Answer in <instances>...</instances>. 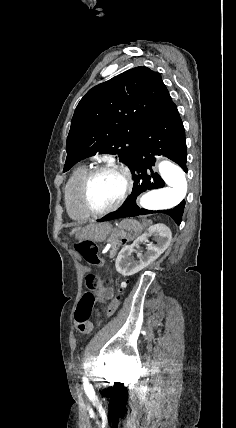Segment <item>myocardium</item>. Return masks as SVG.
Returning <instances> with one entry per match:
<instances>
[{"label": "myocardium", "mask_w": 236, "mask_h": 428, "mask_svg": "<svg viewBox=\"0 0 236 428\" xmlns=\"http://www.w3.org/2000/svg\"><path fill=\"white\" fill-rule=\"evenodd\" d=\"M109 170L117 171V172L122 174V176L125 180V183H126V188H125V191H124L122 197L120 198V200L116 204L109 206L107 208L98 209V208L94 207L92 205V203L90 202L89 187H90L92 180L98 174L105 172V171H109ZM133 190H134V180H133V176H132V172H131L130 168L122 162L107 161V162L98 164V165L94 166L93 168H91L90 170H88L87 174L83 178L81 185H80V201H81L83 208L89 214H91L92 216H101V215H105V214H108V213H111V212H114V211L120 209L125 204V202L128 200V198L131 196Z\"/></svg>", "instance_id": "obj_1"}]
</instances>
